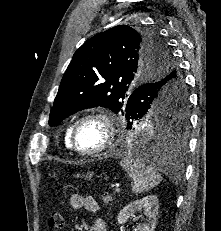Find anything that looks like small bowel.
<instances>
[{"label": "small bowel", "mask_w": 221, "mask_h": 231, "mask_svg": "<svg viewBox=\"0 0 221 231\" xmlns=\"http://www.w3.org/2000/svg\"><path fill=\"white\" fill-rule=\"evenodd\" d=\"M70 206L73 209L84 208L88 212L96 213L99 210L98 202L91 196L83 197L81 195H72L69 200ZM89 231H107L106 224L102 219H95Z\"/></svg>", "instance_id": "obj_1"}]
</instances>
